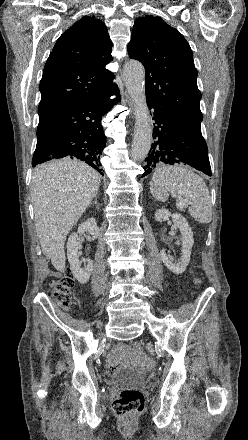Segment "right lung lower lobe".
I'll use <instances>...</instances> for the list:
<instances>
[{
  "instance_id": "right-lung-lower-lobe-1",
  "label": "right lung lower lobe",
  "mask_w": 248,
  "mask_h": 440,
  "mask_svg": "<svg viewBox=\"0 0 248 440\" xmlns=\"http://www.w3.org/2000/svg\"><path fill=\"white\" fill-rule=\"evenodd\" d=\"M112 94H117L120 100L117 85H111L99 95L76 99L40 115L32 165L76 157L103 175L100 158L106 137L101 119L115 103L110 100Z\"/></svg>"
}]
</instances>
